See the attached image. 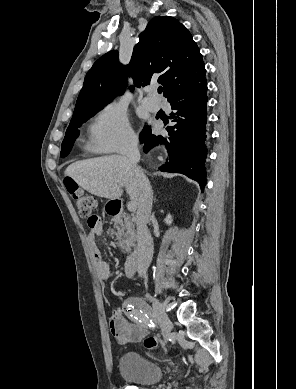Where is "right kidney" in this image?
Returning a JSON list of instances; mask_svg holds the SVG:
<instances>
[{
  "instance_id": "ca27d5eb",
  "label": "right kidney",
  "mask_w": 296,
  "mask_h": 389,
  "mask_svg": "<svg viewBox=\"0 0 296 389\" xmlns=\"http://www.w3.org/2000/svg\"><path fill=\"white\" fill-rule=\"evenodd\" d=\"M172 221H173V220H172L171 215L168 214L167 217L165 218V223H166L167 225H171Z\"/></svg>"
}]
</instances>
